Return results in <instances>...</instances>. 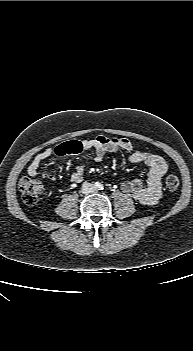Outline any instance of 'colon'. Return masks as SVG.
<instances>
[{
  "instance_id": "obj_1",
  "label": "colon",
  "mask_w": 193,
  "mask_h": 351,
  "mask_svg": "<svg viewBox=\"0 0 193 351\" xmlns=\"http://www.w3.org/2000/svg\"><path fill=\"white\" fill-rule=\"evenodd\" d=\"M165 185L169 190H175L179 186V177L174 174H168L165 178ZM19 191L22 200L28 204H35L43 194V184L38 179L22 178L19 182Z\"/></svg>"
}]
</instances>
